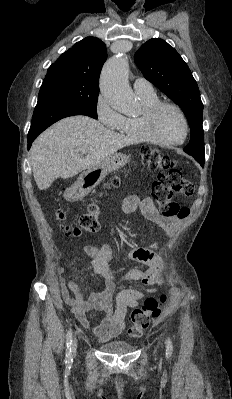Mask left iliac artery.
Here are the masks:
<instances>
[{
    "label": "left iliac artery",
    "mask_w": 232,
    "mask_h": 399,
    "mask_svg": "<svg viewBox=\"0 0 232 399\" xmlns=\"http://www.w3.org/2000/svg\"><path fill=\"white\" fill-rule=\"evenodd\" d=\"M173 353V344L170 338L166 340V357L170 358Z\"/></svg>",
    "instance_id": "obj_1"
}]
</instances>
